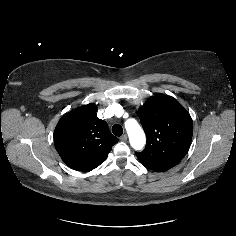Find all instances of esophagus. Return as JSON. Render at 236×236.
Returning a JSON list of instances; mask_svg holds the SVG:
<instances>
[{"label":"esophagus","instance_id":"obj_1","mask_svg":"<svg viewBox=\"0 0 236 236\" xmlns=\"http://www.w3.org/2000/svg\"><path fill=\"white\" fill-rule=\"evenodd\" d=\"M127 135L126 134H123L121 137H120V140L121 141H126L127 140Z\"/></svg>","mask_w":236,"mask_h":236}]
</instances>
